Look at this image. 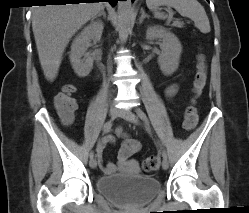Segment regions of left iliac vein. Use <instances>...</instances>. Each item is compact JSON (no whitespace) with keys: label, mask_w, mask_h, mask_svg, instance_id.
Segmentation results:
<instances>
[{"label":"left iliac vein","mask_w":249,"mask_h":213,"mask_svg":"<svg viewBox=\"0 0 249 213\" xmlns=\"http://www.w3.org/2000/svg\"><path fill=\"white\" fill-rule=\"evenodd\" d=\"M119 116L129 122H132L134 124H138L139 123V120H138V117L131 111L129 110H121L119 112ZM169 167V161L167 158H163V161H162V168L164 170H167Z\"/></svg>","instance_id":"1"}]
</instances>
